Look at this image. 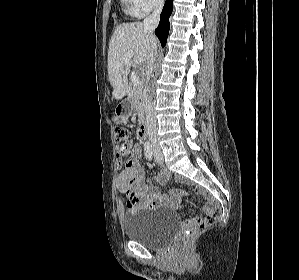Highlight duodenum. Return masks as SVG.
Here are the masks:
<instances>
[{"label":"duodenum","mask_w":299,"mask_h":280,"mask_svg":"<svg viewBox=\"0 0 299 280\" xmlns=\"http://www.w3.org/2000/svg\"><path fill=\"white\" fill-rule=\"evenodd\" d=\"M147 133H148V125L146 121H143L139 127V132H138L140 139H145L147 137Z\"/></svg>","instance_id":"duodenum-1"}]
</instances>
